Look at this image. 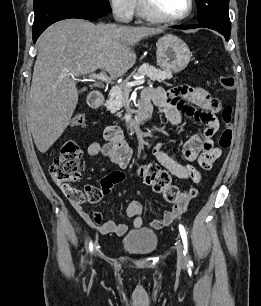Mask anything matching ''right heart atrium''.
<instances>
[{
  "mask_svg": "<svg viewBox=\"0 0 261 306\" xmlns=\"http://www.w3.org/2000/svg\"><path fill=\"white\" fill-rule=\"evenodd\" d=\"M136 0H109L111 11L121 21H129L135 11Z\"/></svg>",
  "mask_w": 261,
  "mask_h": 306,
  "instance_id": "1",
  "label": "right heart atrium"
}]
</instances>
